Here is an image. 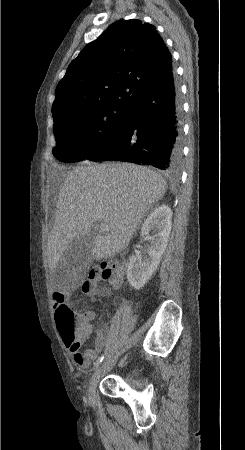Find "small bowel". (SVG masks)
Segmentation results:
<instances>
[{"mask_svg":"<svg viewBox=\"0 0 245 450\" xmlns=\"http://www.w3.org/2000/svg\"><path fill=\"white\" fill-rule=\"evenodd\" d=\"M85 284L86 283H84V285ZM102 294L104 296H109L111 294V292L109 290H106ZM79 320L87 322L89 324L90 331H92V330L95 331L96 339H95L94 349L86 350L83 353L80 352L81 343L85 339L81 340L79 344H76V343L67 344V343H65V346L67 347L69 355H70L71 359L74 361L75 364H77V365H79L81 367H88L90 362L95 359L96 355L100 351H102V349L105 346V336H104L105 328L101 327V326H98V327H94L93 326V321L95 320V313L92 312V311H88V312L80 315L79 316ZM78 356L82 357V361L81 362H79L77 360Z\"/></svg>","mask_w":245,"mask_h":450,"instance_id":"small-bowel-1","label":"small bowel"}]
</instances>
